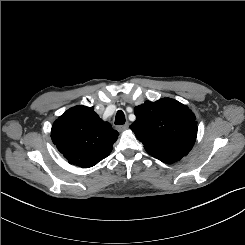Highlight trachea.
<instances>
[{
  "instance_id": "1",
  "label": "trachea",
  "mask_w": 245,
  "mask_h": 245,
  "mask_svg": "<svg viewBox=\"0 0 245 245\" xmlns=\"http://www.w3.org/2000/svg\"><path fill=\"white\" fill-rule=\"evenodd\" d=\"M125 123V115L122 110H119L115 117V125H123Z\"/></svg>"
}]
</instances>
